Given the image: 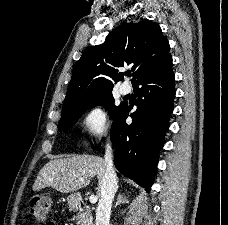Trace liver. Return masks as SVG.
<instances>
[{
    "mask_svg": "<svg viewBox=\"0 0 228 225\" xmlns=\"http://www.w3.org/2000/svg\"><path fill=\"white\" fill-rule=\"evenodd\" d=\"M105 169L104 159L94 155H71L68 159H54L42 167L32 189L40 191L45 187H51L60 193H74L90 185L92 177H97L99 197Z\"/></svg>",
    "mask_w": 228,
    "mask_h": 225,
    "instance_id": "6515ba94",
    "label": "liver"
}]
</instances>
